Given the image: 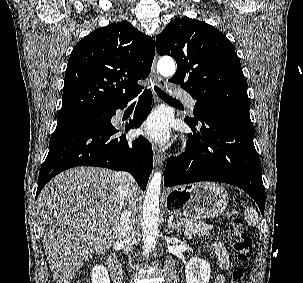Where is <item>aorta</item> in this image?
Instances as JSON below:
<instances>
[{"label": "aorta", "mask_w": 303, "mask_h": 283, "mask_svg": "<svg viewBox=\"0 0 303 283\" xmlns=\"http://www.w3.org/2000/svg\"><path fill=\"white\" fill-rule=\"evenodd\" d=\"M159 73L164 77H171L176 71L175 62L171 57H162L157 64ZM162 173L157 171L151 178L143 204V249L145 256H149L155 246L159 222V197L161 192Z\"/></svg>", "instance_id": "1"}]
</instances>
